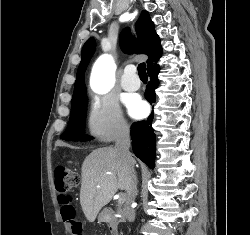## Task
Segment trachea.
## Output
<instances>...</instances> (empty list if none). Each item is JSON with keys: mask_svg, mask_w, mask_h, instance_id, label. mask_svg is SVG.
<instances>
[{"mask_svg": "<svg viewBox=\"0 0 250 235\" xmlns=\"http://www.w3.org/2000/svg\"><path fill=\"white\" fill-rule=\"evenodd\" d=\"M138 74L139 76L142 78V77H146L147 78V73H146V65L145 63H140L138 65Z\"/></svg>", "mask_w": 250, "mask_h": 235, "instance_id": "3493384b", "label": "trachea"}]
</instances>
